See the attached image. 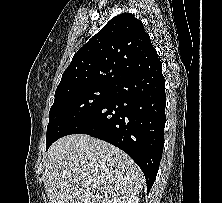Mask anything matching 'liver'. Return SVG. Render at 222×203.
Here are the masks:
<instances>
[{
    "instance_id": "6515ba94",
    "label": "liver",
    "mask_w": 222,
    "mask_h": 203,
    "mask_svg": "<svg viewBox=\"0 0 222 203\" xmlns=\"http://www.w3.org/2000/svg\"><path fill=\"white\" fill-rule=\"evenodd\" d=\"M44 166L49 203H119L144 185L141 169L125 152L85 134L54 142Z\"/></svg>"
}]
</instances>
